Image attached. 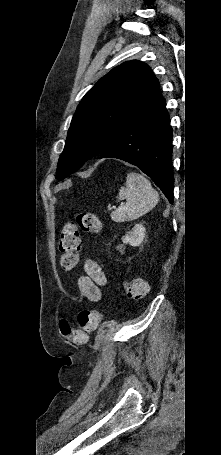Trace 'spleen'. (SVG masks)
Wrapping results in <instances>:
<instances>
[{
	"label": "spleen",
	"instance_id": "obj_1",
	"mask_svg": "<svg viewBox=\"0 0 221 455\" xmlns=\"http://www.w3.org/2000/svg\"><path fill=\"white\" fill-rule=\"evenodd\" d=\"M118 200H126L124 205L111 213L114 222L133 221L152 210L159 201V194L143 175L130 172L126 177V187H121Z\"/></svg>",
	"mask_w": 221,
	"mask_h": 455
}]
</instances>
